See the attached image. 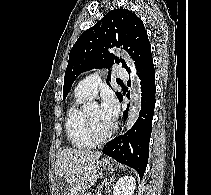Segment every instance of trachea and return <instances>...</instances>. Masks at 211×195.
Segmentation results:
<instances>
[{"mask_svg": "<svg viewBox=\"0 0 211 195\" xmlns=\"http://www.w3.org/2000/svg\"><path fill=\"white\" fill-rule=\"evenodd\" d=\"M117 82H122L121 80H117Z\"/></svg>", "mask_w": 211, "mask_h": 195, "instance_id": "1", "label": "trachea"}]
</instances>
